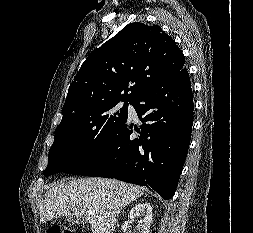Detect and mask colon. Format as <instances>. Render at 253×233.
<instances>
[{
  "mask_svg": "<svg viewBox=\"0 0 253 233\" xmlns=\"http://www.w3.org/2000/svg\"><path fill=\"white\" fill-rule=\"evenodd\" d=\"M46 233H61V230L58 226L56 225H53V226H50L48 229H47V232ZM68 233V232H66Z\"/></svg>",
  "mask_w": 253,
  "mask_h": 233,
  "instance_id": "colon-1",
  "label": "colon"
}]
</instances>
